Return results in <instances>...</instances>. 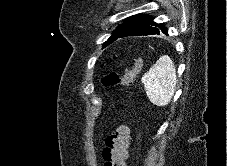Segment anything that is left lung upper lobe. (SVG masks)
Segmentation results:
<instances>
[{
  "mask_svg": "<svg viewBox=\"0 0 227 166\" xmlns=\"http://www.w3.org/2000/svg\"><path fill=\"white\" fill-rule=\"evenodd\" d=\"M136 17L137 15L131 16L125 20L124 24L119 25L116 28V30L112 33V36L104 43V46L109 45L117 34L130 28Z\"/></svg>",
  "mask_w": 227,
  "mask_h": 166,
  "instance_id": "1",
  "label": "left lung upper lobe"
}]
</instances>
